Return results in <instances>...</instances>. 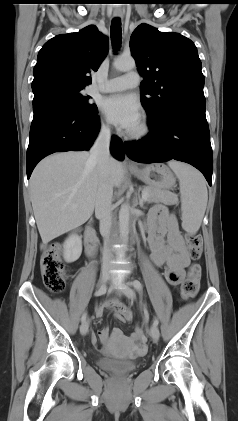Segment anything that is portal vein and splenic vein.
<instances>
[{
  "instance_id": "18ae733b",
  "label": "portal vein and splenic vein",
  "mask_w": 238,
  "mask_h": 421,
  "mask_svg": "<svg viewBox=\"0 0 238 421\" xmlns=\"http://www.w3.org/2000/svg\"><path fill=\"white\" fill-rule=\"evenodd\" d=\"M148 192L147 191H143L142 192V201H146L147 200V198H148Z\"/></svg>"
}]
</instances>
